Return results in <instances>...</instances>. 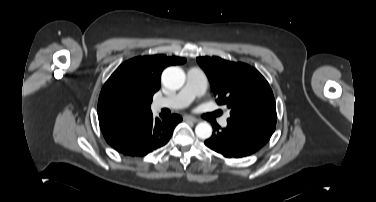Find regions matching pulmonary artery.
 Segmentation results:
<instances>
[{"label": "pulmonary artery", "instance_id": "pulmonary-artery-1", "mask_svg": "<svg viewBox=\"0 0 376 202\" xmlns=\"http://www.w3.org/2000/svg\"><path fill=\"white\" fill-rule=\"evenodd\" d=\"M206 78L204 72L198 67H192L187 72V80L184 87L176 94L158 98L154 102L156 109L171 108L180 109L188 106L196 97L204 94ZM222 126L227 125L226 118L221 121Z\"/></svg>", "mask_w": 376, "mask_h": 202}]
</instances>
